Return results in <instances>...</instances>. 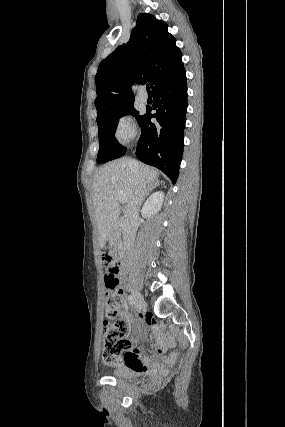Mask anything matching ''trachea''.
I'll use <instances>...</instances> for the list:
<instances>
[{
  "mask_svg": "<svg viewBox=\"0 0 285 427\" xmlns=\"http://www.w3.org/2000/svg\"><path fill=\"white\" fill-rule=\"evenodd\" d=\"M146 89H147L148 92H150V87H149L148 84L146 85Z\"/></svg>",
  "mask_w": 285,
  "mask_h": 427,
  "instance_id": "1",
  "label": "trachea"
}]
</instances>
